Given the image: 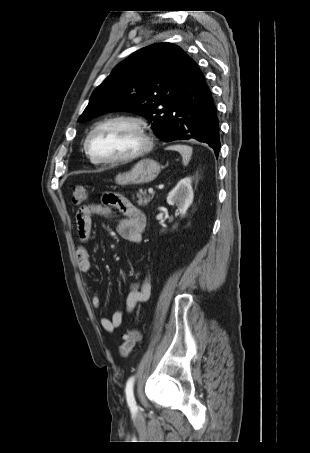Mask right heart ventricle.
Instances as JSON below:
<instances>
[{"mask_svg":"<svg viewBox=\"0 0 310 453\" xmlns=\"http://www.w3.org/2000/svg\"><path fill=\"white\" fill-rule=\"evenodd\" d=\"M91 162L94 163V164H96V162H94V161H92V160H91Z\"/></svg>","mask_w":310,"mask_h":453,"instance_id":"right-heart-ventricle-1","label":"right heart ventricle"}]
</instances>
